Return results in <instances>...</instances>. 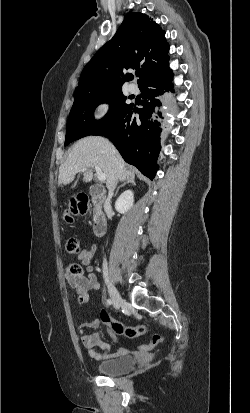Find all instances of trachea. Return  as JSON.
Returning <instances> with one entry per match:
<instances>
[{"label": "trachea", "instance_id": "1", "mask_svg": "<svg viewBox=\"0 0 250 413\" xmlns=\"http://www.w3.org/2000/svg\"><path fill=\"white\" fill-rule=\"evenodd\" d=\"M135 74H136V76H139L140 72H139V71H136V73H135Z\"/></svg>", "mask_w": 250, "mask_h": 413}]
</instances>
